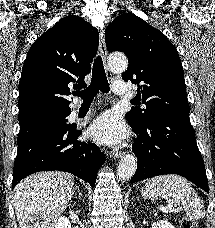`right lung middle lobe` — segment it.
I'll list each match as a JSON object with an SVG mask.
<instances>
[{"instance_id": "1", "label": "right lung middle lobe", "mask_w": 215, "mask_h": 228, "mask_svg": "<svg viewBox=\"0 0 215 228\" xmlns=\"http://www.w3.org/2000/svg\"><path fill=\"white\" fill-rule=\"evenodd\" d=\"M69 114L70 113L46 115L20 123L18 140L29 137L44 129L70 127L71 125L67 124L66 120Z\"/></svg>"}]
</instances>
